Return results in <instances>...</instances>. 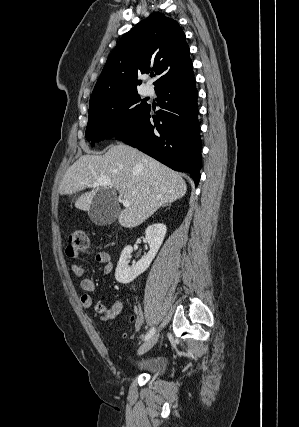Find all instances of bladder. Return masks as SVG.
<instances>
[{
    "mask_svg": "<svg viewBox=\"0 0 299 427\" xmlns=\"http://www.w3.org/2000/svg\"><path fill=\"white\" fill-rule=\"evenodd\" d=\"M143 373L154 377H161L166 370V361L162 357H154L138 365Z\"/></svg>",
    "mask_w": 299,
    "mask_h": 427,
    "instance_id": "bladder-1",
    "label": "bladder"
}]
</instances>
